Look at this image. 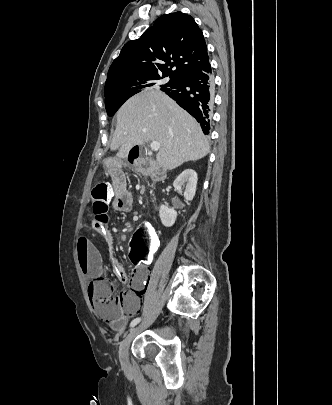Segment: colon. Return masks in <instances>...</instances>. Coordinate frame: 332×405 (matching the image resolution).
I'll list each match as a JSON object with an SVG mask.
<instances>
[{"label": "colon", "mask_w": 332, "mask_h": 405, "mask_svg": "<svg viewBox=\"0 0 332 405\" xmlns=\"http://www.w3.org/2000/svg\"><path fill=\"white\" fill-rule=\"evenodd\" d=\"M116 186L108 182L96 185L92 191L93 215L96 228L105 229L108 222L110 199L115 197ZM153 226L144 222L139 224L130 243L129 254L132 267H149L150 260L157 255L158 233ZM90 300L98 314L104 319H112L125 312L132 296L128 292L117 294L113 282L106 277L96 278L88 287Z\"/></svg>", "instance_id": "1"}]
</instances>
